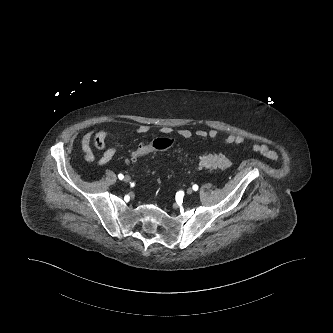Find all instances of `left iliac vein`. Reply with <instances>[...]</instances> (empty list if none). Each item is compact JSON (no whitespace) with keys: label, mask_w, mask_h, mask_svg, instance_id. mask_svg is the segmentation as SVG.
I'll return each instance as SVG.
<instances>
[{"label":"left iliac vein","mask_w":333,"mask_h":333,"mask_svg":"<svg viewBox=\"0 0 333 333\" xmlns=\"http://www.w3.org/2000/svg\"><path fill=\"white\" fill-rule=\"evenodd\" d=\"M192 193H193V189H192V188H188V189H187V194H188V195H191Z\"/></svg>","instance_id":"4c4485c4"}]
</instances>
